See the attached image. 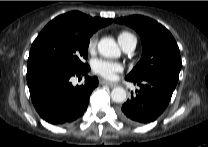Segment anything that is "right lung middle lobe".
<instances>
[{
  "instance_id": "right-lung-middle-lobe-1",
  "label": "right lung middle lobe",
  "mask_w": 208,
  "mask_h": 147,
  "mask_svg": "<svg viewBox=\"0 0 208 147\" xmlns=\"http://www.w3.org/2000/svg\"><path fill=\"white\" fill-rule=\"evenodd\" d=\"M91 34L70 27L43 29L31 46L27 71L44 67L80 70L88 66Z\"/></svg>"
}]
</instances>
